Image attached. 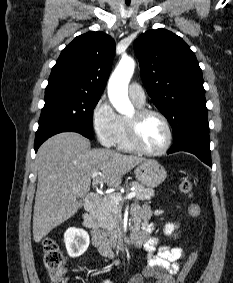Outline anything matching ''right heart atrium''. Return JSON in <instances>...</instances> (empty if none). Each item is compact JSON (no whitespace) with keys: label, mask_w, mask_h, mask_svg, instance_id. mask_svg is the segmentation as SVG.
I'll list each match as a JSON object with an SVG mask.
<instances>
[{"label":"right heart atrium","mask_w":233,"mask_h":283,"mask_svg":"<svg viewBox=\"0 0 233 283\" xmlns=\"http://www.w3.org/2000/svg\"><path fill=\"white\" fill-rule=\"evenodd\" d=\"M92 126L103 146L110 147L116 144L120 130V116L105 97L100 98L93 108Z\"/></svg>","instance_id":"right-heart-atrium-1"}]
</instances>
